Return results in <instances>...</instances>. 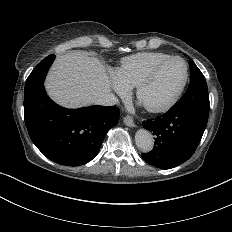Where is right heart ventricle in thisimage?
I'll list each match as a JSON object with an SVG mask.
<instances>
[{
    "label": "right heart ventricle",
    "instance_id": "1",
    "mask_svg": "<svg viewBox=\"0 0 232 232\" xmlns=\"http://www.w3.org/2000/svg\"><path fill=\"white\" fill-rule=\"evenodd\" d=\"M169 57L158 51H141L122 57L115 68L116 79L125 89L122 94L133 88L153 66Z\"/></svg>",
    "mask_w": 232,
    "mask_h": 232
}]
</instances>
